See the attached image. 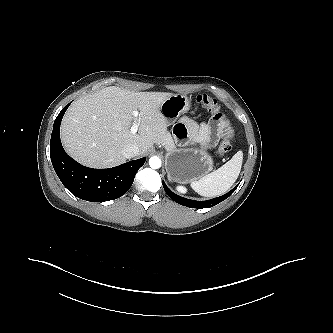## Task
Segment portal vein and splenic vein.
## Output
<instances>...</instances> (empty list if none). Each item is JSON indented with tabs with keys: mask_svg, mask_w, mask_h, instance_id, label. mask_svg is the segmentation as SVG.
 Listing matches in <instances>:
<instances>
[{
	"mask_svg": "<svg viewBox=\"0 0 333 333\" xmlns=\"http://www.w3.org/2000/svg\"><path fill=\"white\" fill-rule=\"evenodd\" d=\"M132 115L134 116L135 118V121L134 123L132 124L131 128H130V131L132 134H136L137 131H138V127H139V124H138V116H139V112L137 110L133 111L132 112Z\"/></svg>",
	"mask_w": 333,
	"mask_h": 333,
	"instance_id": "18ae733b",
	"label": "portal vein and splenic vein"
}]
</instances>
